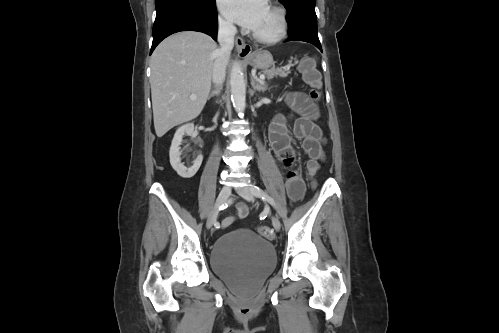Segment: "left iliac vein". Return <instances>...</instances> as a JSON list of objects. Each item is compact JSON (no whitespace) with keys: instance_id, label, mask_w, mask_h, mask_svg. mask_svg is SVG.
I'll return each mask as SVG.
<instances>
[{"instance_id":"4c4485c4","label":"left iliac vein","mask_w":499,"mask_h":333,"mask_svg":"<svg viewBox=\"0 0 499 333\" xmlns=\"http://www.w3.org/2000/svg\"><path fill=\"white\" fill-rule=\"evenodd\" d=\"M237 193L243 197L245 200L253 202L254 201V195L251 192V189L249 187H242L237 190ZM272 220V225L276 231H279L281 228V222L279 218L275 215L271 216Z\"/></svg>"}]
</instances>
